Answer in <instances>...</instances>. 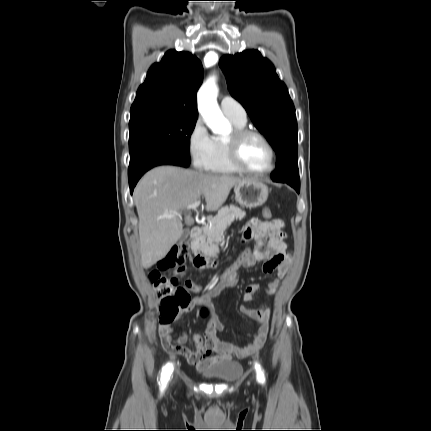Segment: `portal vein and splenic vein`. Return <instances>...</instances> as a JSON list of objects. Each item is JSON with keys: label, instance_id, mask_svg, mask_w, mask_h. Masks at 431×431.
Here are the masks:
<instances>
[{"label": "portal vein and splenic vein", "instance_id": "1", "mask_svg": "<svg viewBox=\"0 0 431 431\" xmlns=\"http://www.w3.org/2000/svg\"><path fill=\"white\" fill-rule=\"evenodd\" d=\"M200 203H201L200 200H197L193 204L188 205L186 207V209L187 210H194V209H196L200 205ZM179 216H180V213L179 212H175L173 214H168L165 217L171 219V218H176V217H179Z\"/></svg>", "mask_w": 431, "mask_h": 431}]
</instances>
